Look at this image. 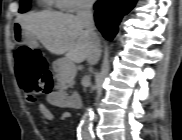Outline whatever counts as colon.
I'll return each mask as SVG.
<instances>
[{
    "instance_id": "obj_1",
    "label": "colon",
    "mask_w": 182,
    "mask_h": 140,
    "mask_svg": "<svg viewBox=\"0 0 182 140\" xmlns=\"http://www.w3.org/2000/svg\"><path fill=\"white\" fill-rule=\"evenodd\" d=\"M16 74L28 102L33 103L38 94L47 91L50 72L44 55L26 46L15 51Z\"/></svg>"
}]
</instances>
